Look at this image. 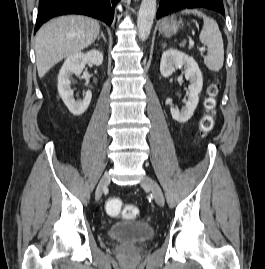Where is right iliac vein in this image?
Segmentation results:
<instances>
[{
    "label": "right iliac vein",
    "instance_id": "63e3f726",
    "mask_svg": "<svg viewBox=\"0 0 265 269\" xmlns=\"http://www.w3.org/2000/svg\"><path fill=\"white\" fill-rule=\"evenodd\" d=\"M109 183H110V175L108 173H105L102 176V178L97 186V189H96L95 198L97 201L100 200V198L102 196L103 189L105 187H107Z\"/></svg>",
    "mask_w": 265,
    "mask_h": 269
}]
</instances>
